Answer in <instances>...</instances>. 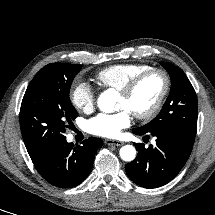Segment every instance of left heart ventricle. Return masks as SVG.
I'll return each mask as SVG.
<instances>
[{"instance_id": "left-heart-ventricle-1", "label": "left heart ventricle", "mask_w": 215, "mask_h": 215, "mask_svg": "<svg viewBox=\"0 0 215 215\" xmlns=\"http://www.w3.org/2000/svg\"><path fill=\"white\" fill-rule=\"evenodd\" d=\"M162 86V78L159 75H151L137 88L131 97L125 98L120 95L119 108L128 109L131 113L147 111L156 102Z\"/></svg>"}]
</instances>
